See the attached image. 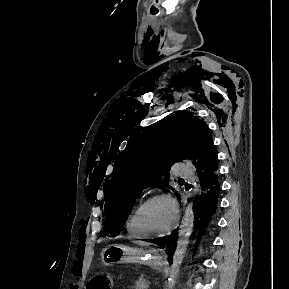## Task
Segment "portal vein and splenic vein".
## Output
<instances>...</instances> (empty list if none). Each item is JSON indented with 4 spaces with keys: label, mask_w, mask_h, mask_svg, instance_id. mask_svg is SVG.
<instances>
[{
    "label": "portal vein and splenic vein",
    "mask_w": 289,
    "mask_h": 289,
    "mask_svg": "<svg viewBox=\"0 0 289 289\" xmlns=\"http://www.w3.org/2000/svg\"><path fill=\"white\" fill-rule=\"evenodd\" d=\"M144 287H145V289H146V288L148 287V284H145Z\"/></svg>",
    "instance_id": "18ae733b"
}]
</instances>
